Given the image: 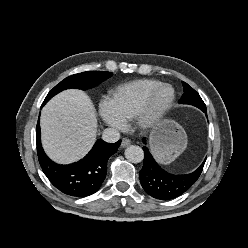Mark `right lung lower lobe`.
Segmentation results:
<instances>
[{"label":"right lung lower lobe","mask_w":248,"mask_h":248,"mask_svg":"<svg viewBox=\"0 0 248 248\" xmlns=\"http://www.w3.org/2000/svg\"><path fill=\"white\" fill-rule=\"evenodd\" d=\"M44 105L45 102L42 107ZM40 134L38 119L37 154L44 174L61 192L75 197H86L98 191L107 174V161L112 154L117 152L121 143L119 140L110 144L99 139L82 160L69 165H59L45 154Z\"/></svg>","instance_id":"right-lung-lower-lobe-1"}]
</instances>
